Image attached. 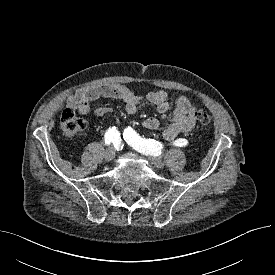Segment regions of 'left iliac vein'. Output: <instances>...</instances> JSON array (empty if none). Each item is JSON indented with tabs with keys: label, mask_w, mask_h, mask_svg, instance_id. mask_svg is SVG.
Returning a JSON list of instances; mask_svg holds the SVG:
<instances>
[{
	"label": "left iliac vein",
	"mask_w": 275,
	"mask_h": 275,
	"mask_svg": "<svg viewBox=\"0 0 275 275\" xmlns=\"http://www.w3.org/2000/svg\"><path fill=\"white\" fill-rule=\"evenodd\" d=\"M149 160L156 168L161 169L164 167L163 160L158 156H149Z\"/></svg>",
	"instance_id": "4c4485c4"
}]
</instances>
